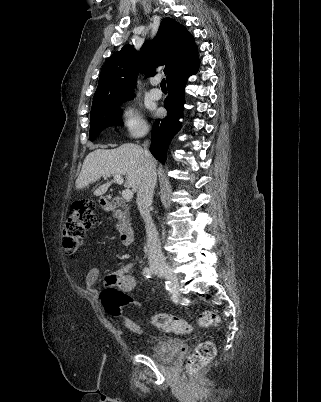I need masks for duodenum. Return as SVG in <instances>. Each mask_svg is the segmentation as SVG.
I'll return each instance as SVG.
<instances>
[{
  "instance_id": "obj_1",
  "label": "duodenum",
  "mask_w": 321,
  "mask_h": 402,
  "mask_svg": "<svg viewBox=\"0 0 321 402\" xmlns=\"http://www.w3.org/2000/svg\"><path fill=\"white\" fill-rule=\"evenodd\" d=\"M100 204L107 211L115 209V203L105 197L100 198ZM116 228L122 243L130 245L134 238V229L132 226L126 222H119Z\"/></svg>"
}]
</instances>
